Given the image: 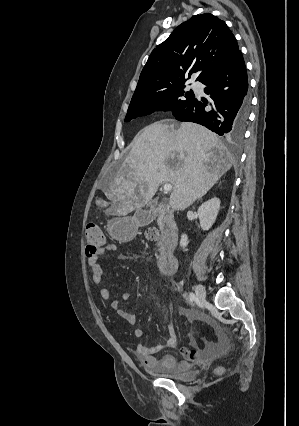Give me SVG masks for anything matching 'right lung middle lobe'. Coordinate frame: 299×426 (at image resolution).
I'll list each match as a JSON object with an SVG mask.
<instances>
[{"mask_svg": "<svg viewBox=\"0 0 299 426\" xmlns=\"http://www.w3.org/2000/svg\"><path fill=\"white\" fill-rule=\"evenodd\" d=\"M195 97L192 90L186 91L185 85H176L131 101L125 121L145 116L154 111L171 110L173 114L181 111Z\"/></svg>", "mask_w": 299, "mask_h": 426, "instance_id": "1", "label": "right lung middle lobe"}]
</instances>
